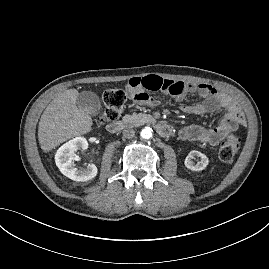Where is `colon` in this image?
<instances>
[{
    "label": "colon",
    "mask_w": 269,
    "mask_h": 269,
    "mask_svg": "<svg viewBox=\"0 0 269 269\" xmlns=\"http://www.w3.org/2000/svg\"><path fill=\"white\" fill-rule=\"evenodd\" d=\"M104 113L99 117V123L114 121L121 114L127 100V92L118 87L107 88L103 92ZM241 147V137L228 134L219 146V158L224 163H231Z\"/></svg>",
    "instance_id": "colon-1"
}]
</instances>
